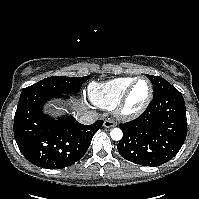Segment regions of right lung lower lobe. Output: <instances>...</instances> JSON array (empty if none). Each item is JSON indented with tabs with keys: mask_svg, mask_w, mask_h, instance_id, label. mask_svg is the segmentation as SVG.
<instances>
[{
	"mask_svg": "<svg viewBox=\"0 0 199 199\" xmlns=\"http://www.w3.org/2000/svg\"><path fill=\"white\" fill-rule=\"evenodd\" d=\"M52 98L69 96L40 91L21 93L14 118V137L28 161L43 168L59 169L83 157L103 121L83 125L72 116L55 120L42 111Z\"/></svg>",
	"mask_w": 199,
	"mask_h": 199,
	"instance_id": "obj_1",
	"label": "right lung lower lobe"
}]
</instances>
